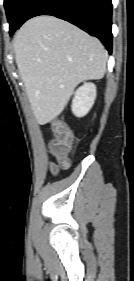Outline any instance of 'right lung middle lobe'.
<instances>
[{
	"instance_id": "dd1d6c3e",
	"label": "right lung middle lobe",
	"mask_w": 134,
	"mask_h": 281,
	"mask_svg": "<svg viewBox=\"0 0 134 281\" xmlns=\"http://www.w3.org/2000/svg\"><path fill=\"white\" fill-rule=\"evenodd\" d=\"M30 0H5L7 19L10 24V34L20 26L24 9Z\"/></svg>"
}]
</instances>
